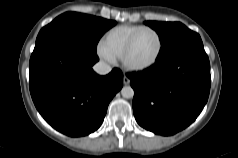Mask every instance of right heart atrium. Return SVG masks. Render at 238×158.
<instances>
[{
    "mask_svg": "<svg viewBox=\"0 0 238 158\" xmlns=\"http://www.w3.org/2000/svg\"><path fill=\"white\" fill-rule=\"evenodd\" d=\"M97 51H98L99 56L102 59H104L105 61H107V62L115 61V57L112 54H110L106 49H104V47L101 44L98 46Z\"/></svg>",
    "mask_w": 238,
    "mask_h": 158,
    "instance_id": "d8ad5b80",
    "label": "right heart atrium"
}]
</instances>
